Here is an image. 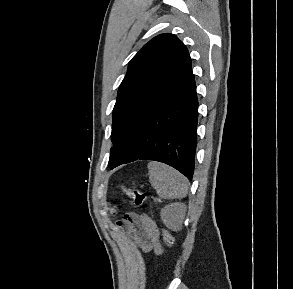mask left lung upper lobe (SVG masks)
<instances>
[{
	"instance_id": "left-lung-upper-lobe-1",
	"label": "left lung upper lobe",
	"mask_w": 293,
	"mask_h": 289,
	"mask_svg": "<svg viewBox=\"0 0 293 289\" xmlns=\"http://www.w3.org/2000/svg\"><path fill=\"white\" fill-rule=\"evenodd\" d=\"M190 68L186 46L169 33L154 37L131 59L113 109L110 169L127 159L117 144L130 126Z\"/></svg>"
}]
</instances>
